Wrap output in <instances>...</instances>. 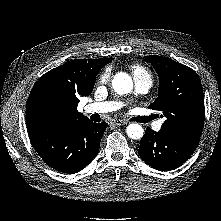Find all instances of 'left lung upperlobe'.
Masks as SVG:
<instances>
[{"label":"left lung upper lobe","instance_id":"1","mask_svg":"<svg viewBox=\"0 0 221 221\" xmlns=\"http://www.w3.org/2000/svg\"><path fill=\"white\" fill-rule=\"evenodd\" d=\"M159 76L157 99L150 109L165 117L160 132L198 144L204 125L203 90L197 73L170 58L145 56Z\"/></svg>","mask_w":221,"mask_h":221}]
</instances>
